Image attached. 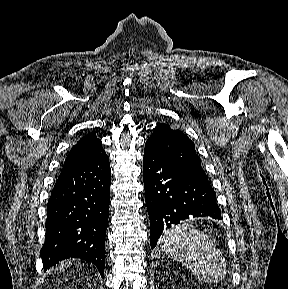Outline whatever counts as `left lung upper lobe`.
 <instances>
[{"label":"left lung upper lobe","instance_id":"1","mask_svg":"<svg viewBox=\"0 0 288 289\" xmlns=\"http://www.w3.org/2000/svg\"><path fill=\"white\" fill-rule=\"evenodd\" d=\"M147 141H150L172 162L208 179L201 166V159L195 151L194 143L180 130L168 124H158Z\"/></svg>","mask_w":288,"mask_h":289}]
</instances>
